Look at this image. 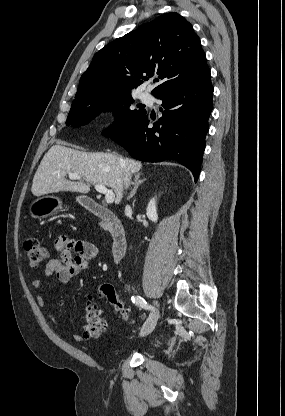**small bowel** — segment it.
Wrapping results in <instances>:
<instances>
[{
    "mask_svg": "<svg viewBox=\"0 0 285 416\" xmlns=\"http://www.w3.org/2000/svg\"><path fill=\"white\" fill-rule=\"evenodd\" d=\"M55 249L59 253V258L50 260L43 273L42 278L32 282L34 288H40L45 279L55 278L62 284L69 283L81 271L88 268L89 262L96 258L97 247L86 240H75L67 236H59L55 242ZM39 306L46 308V300L43 295L37 296ZM47 317L55 325L62 327L59 319L50 311L46 312ZM72 338L81 342L85 338L83 334H73Z\"/></svg>",
    "mask_w": 285,
    "mask_h": 416,
    "instance_id": "c3829d8e",
    "label": "small bowel"
}]
</instances>
